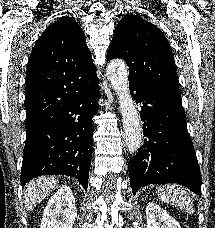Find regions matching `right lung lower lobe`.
Instances as JSON below:
<instances>
[{
	"mask_svg": "<svg viewBox=\"0 0 215 228\" xmlns=\"http://www.w3.org/2000/svg\"><path fill=\"white\" fill-rule=\"evenodd\" d=\"M95 75L71 87L68 99L25 125L22 187L41 175H68L87 190L92 158V117L100 92Z\"/></svg>",
	"mask_w": 215,
	"mask_h": 228,
	"instance_id": "98d812e1",
	"label": "right lung lower lobe"
}]
</instances>
